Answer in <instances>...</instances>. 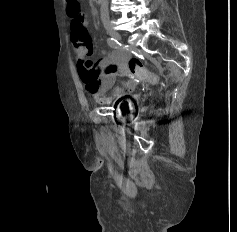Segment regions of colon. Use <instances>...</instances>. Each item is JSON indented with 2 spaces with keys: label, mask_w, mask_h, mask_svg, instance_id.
<instances>
[{
  "label": "colon",
  "mask_w": 237,
  "mask_h": 232,
  "mask_svg": "<svg viewBox=\"0 0 237 232\" xmlns=\"http://www.w3.org/2000/svg\"><path fill=\"white\" fill-rule=\"evenodd\" d=\"M68 14L72 19V24L77 30L84 29V19L82 14V6L79 0H69L68 2ZM128 68L130 72L136 77L148 80L156 81V76L149 72L141 60L138 58H131L128 62Z\"/></svg>",
  "instance_id": "obj_1"
}]
</instances>
